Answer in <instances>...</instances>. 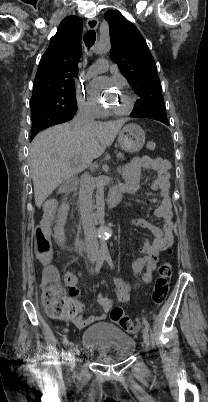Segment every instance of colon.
<instances>
[{"instance_id": "1", "label": "colon", "mask_w": 208, "mask_h": 402, "mask_svg": "<svg viewBox=\"0 0 208 402\" xmlns=\"http://www.w3.org/2000/svg\"><path fill=\"white\" fill-rule=\"evenodd\" d=\"M146 148L148 151H155V142H148ZM49 240V232H43L41 228L36 230V257L39 265H45L43 269L44 282L42 283V290L45 291V299H42L41 305L42 308H47V314H68L69 316H74L76 313L75 301L74 299H67V295H70L72 292L69 286L70 278L60 277L58 263L57 261H53V257L51 256L50 249L52 244ZM157 273L154 287L150 293L151 305L153 306H161L167 297L169 281L172 276L171 263L167 260L160 261ZM110 318L112 322L125 331L130 332L134 329L133 321L120 306H115L111 309Z\"/></svg>"}]
</instances>
